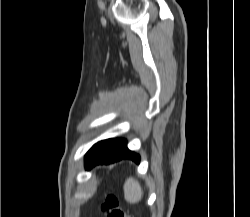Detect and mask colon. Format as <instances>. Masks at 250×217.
I'll return each mask as SVG.
<instances>
[{
    "label": "colon",
    "mask_w": 250,
    "mask_h": 217,
    "mask_svg": "<svg viewBox=\"0 0 250 217\" xmlns=\"http://www.w3.org/2000/svg\"><path fill=\"white\" fill-rule=\"evenodd\" d=\"M101 212L104 217H130L128 210L113 193L106 194L101 204Z\"/></svg>",
    "instance_id": "obj_1"
}]
</instances>
